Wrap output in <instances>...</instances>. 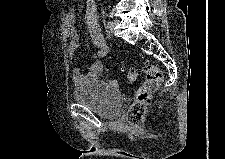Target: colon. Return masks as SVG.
Here are the masks:
<instances>
[{"label":"colon","instance_id":"obj_1","mask_svg":"<svg viewBox=\"0 0 225 159\" xmlns=\"http://www.w3.org/2000/svg\"><path fill=\"white\" fill-rule=\"evenodd\" d=\"M145 75V81L136 89L134 102L129 108L126 119L131 124L139 123L151 101V96L162 82V71L158 66L151 63H146L142 69ZM126 80L135 82L138 76V71L135 68L125 70Z\"/></svg>","mask_w":225,"mask_h":159}]
</instances>
